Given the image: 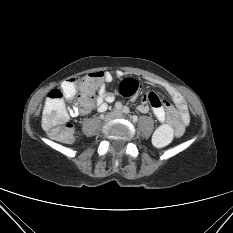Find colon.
<instances>
[{"instance_id":"obj_1","label":"colon","mask_w":233,"mask_h":233,"mask_svg":"<svg viewBox=\"0 0 233 233\" xmlns=\"http://www.w3.org/2000/svg\"><path fill=\"white\" fill-rule=\"evenodd\" d=\"M103 78L102 72L90 73L86 75L82 83V92L85 96L92 98V94L99 88ZM65 92L72 90V81L63 86ZM120 92L124 96H132L139 89V83L135 79H124L120 84ZM43 126L49 135L64 143L73 140L74 129L68 122V113L64 103V94L59 89H53L49 92L44 112ZM174 137V130L170 125H161L153 136L154 144L158 147L168 146Z\"/></svg>"}]
</instances>
